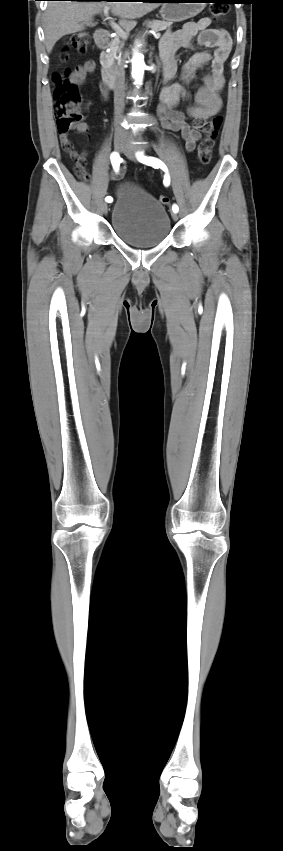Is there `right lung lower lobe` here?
<instances>
[{
    "instance_id": "98d812e1",
    "label": "right lung lower lobe",
    "mask_w": 283,
    "mask_h": 851,
    "mask_svg": "<svg viewBox=\"0 0 283 851\" xmlns=\"http://www.w3.org/2000/svg\"><path fill=\"white\" fill-rule=\"evenodd\" d=\"M75 1H96V0H75ZM98 1H108V0H98ZM142 1H148V0H142ZM149 2H152V1H149Z\"/></svg>"
}]
</instances>
